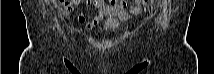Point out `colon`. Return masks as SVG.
Instances as JSON below:
<instances>
[{"label": "colon", "mask_w": 214, "mask_h": 74, "mask_svg": "<svg viewBox=\"0 0 214 74\" xmlns=\"http://www.w3.org/2000/svg\"><path fill=\"white\" fill-rule=\"evenodd\" d=\"M135 2L140 4V5H145L147 0H136Z\"/></svg>", "instance_id": "colon-1"}]
</instances>
